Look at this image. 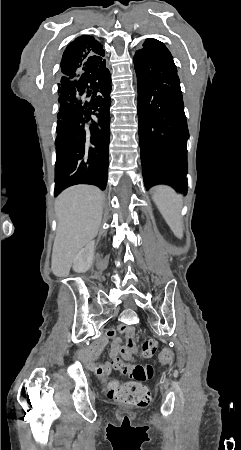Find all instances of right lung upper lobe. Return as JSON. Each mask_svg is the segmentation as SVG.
<instances>
[{"mask_svg":"<svg viewBox=\"0 0 241 450\" xmlns=\"http://www.w3.org/2000/svg\"><path fill=\"white\" fill-rule=\"evenodd\" d=\"M104 55L103 46L93 36L77 37L63 53L60 75H70L84 67L98 66L105 61Z\"/></svg>","mask_w":241,"mask_h":450,"instance_id":"right-lung-upper-lobe-1","label":"right lung upper lobe"}]
</instances>
